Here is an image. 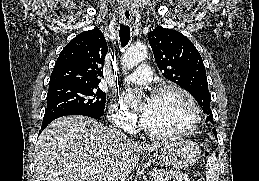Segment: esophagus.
Instances as JSON below:
<instances>
[{"instance_id":"esophagus-1","label":"esophagus","mask_w":259,"mask_h":181,"mask_svg":"<svg viewBox=\"0 0 259 181\" xmlns=\"http://www.w3.org/2000/svg\"><path fill=\"white\" fill-rule=\"evenodd\" d=\"M123 18H124L125 21H129L130 18H131V14H125L124 13Z\"/></svg>"}]
</instances>
